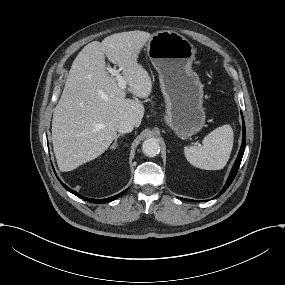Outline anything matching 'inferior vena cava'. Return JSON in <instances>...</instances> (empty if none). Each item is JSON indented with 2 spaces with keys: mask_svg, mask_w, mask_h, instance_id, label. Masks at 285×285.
<instances>
[{
  "mask_svg": "<svg viewBox=\"0 0 285 285\" xmlns=\"http://www.w3.org/2000/svg\"><path fill=\"white\" fill-rule=\"evenodd\" d=\"M133 130V125L129 121H120L117 124V131L120 133H129L132 132Z\"/></svg>",
  "mask_w": 285,
  "mask_h": 285,
  "instance_id": "obj_1",
  "label": "inferior vena cava"
}]
</instances>
